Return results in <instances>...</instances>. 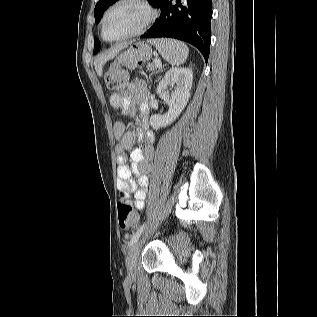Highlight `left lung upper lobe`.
Returning a JSON list of instances; mask_svg holds the SVG:
<instances>
[{
  "label": "left lung upper lobe",
  "mask_w": 317,
  "mask_h": 317,
  "mask_svg": "<svg viewBox=\"0 0 317 317\" xmlns=\"http://www.w3.org/2000/svg\"><path fill=\"white\" fill-rule=\"evenodd\" d=\"M117 0H99L98 3L95 6L94 10V16H95V21L98 24L100 22V19L105 12V10L112 5L114 2ZM148 2L153 6V7H160L162 4L163 0H148ZM101 45L97 39H95V46H94V53H97L100 49Z\"/></svg>",
  "instance_id": "1"
}]
</instances>
